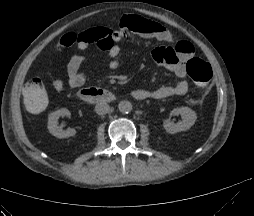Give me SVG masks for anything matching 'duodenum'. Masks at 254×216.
Here are the masks:
<instances>
[{"label": "duodenum", "instance_id": "1", "mask_svg": "<svg viewBox=\"0 0 254 216\" xmlns=\"http://www.w3.org/2000/svg\"><path fill=\"white\" fill-rule=\"evenodd\" d=\"M132 96L135 97L134 92H132ZM79 97L88 102H111L115 99V95L112 92L98 87H89L80 90Z\"/></svg>", "mask_w": 254, "mask_h": 216}]
</instances>
